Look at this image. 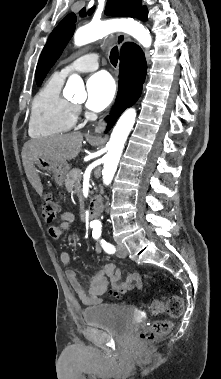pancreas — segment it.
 <instances>
[{"instance_id":"pancreas-1","label":"pancreas","mask_w":221,"mask_h":379,"mask_svg":"<svg viewBox=\"0 0 221 379\" xmlns=\"http://www.w3.org/2000/svg\"><path fill=\"white\" fill-rule=\"evenodd\" d=\"M81 170L74 168L68 172L65 179V186L68 191H72L73 188L76 191H79L80 188V180H81Z\"/></svg>"}]
</instances>
